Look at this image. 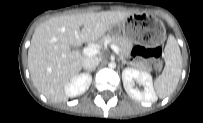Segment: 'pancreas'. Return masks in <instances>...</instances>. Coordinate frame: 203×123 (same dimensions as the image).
<instances>
[{"label": "pancreas", "instance_id": "1", "mask_svg": "<svg viewBox=\"0 0 203 123\" xmlns=\"http://www.w3.org/2000/svg\"><path fill=\"white\" fill-rule=\"evenodd\" d=\"M106 41L110 42L111 44L116 45L119 48V52L121 56H128L130 50L132 48V43L125 37L121 35H104L101 39L98 40L100 45H103ZM143 69L147 71H151V68L143 66Z\"/></svg>", "mask_w": 203, "mask_h": 123}]
</instances>
